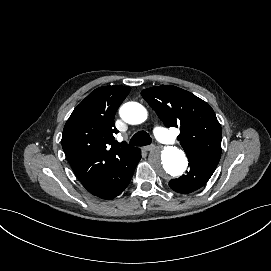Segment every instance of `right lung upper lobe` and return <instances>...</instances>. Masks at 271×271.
<instances>
[{
    "label": "right lung upper lobe",
    "mask_w": 271,
    "mask_h": 271,
    "mask_svg": "<svg viewBox=\"0 0 271 271\" xmlns=\"http://www.w3.org/2000/svg\"><path fill=\"white\" fill-rule=\"evenodd\" d=\"M127 86H104L91 92L65 124L62 148L76 176L88 187L111 165L137 148L114 140V115L130 92Z\"/></svg>",
    "instance_id": "cb5924a9"
}]
</instances>
